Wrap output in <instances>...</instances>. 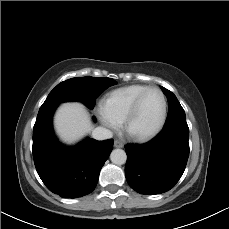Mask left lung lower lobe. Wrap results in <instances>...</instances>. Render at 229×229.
<instances>
[{"label":"left lung lower lobe","instance_id":"obj_1","mask_svg":"<svg viewBox=\"0 0 229 229\" xmlns=\"http://www.w3.org/2000/svg\"><path fill=\"white\" fill-rule=\"evenodd\" d=\"M189 128L186 121L165 126L152 141L125 146L126 180L138 193L155 195L175 186L189 156Z\"/></svg>","mask_w":229,"mask_h":229}]
</instances>
